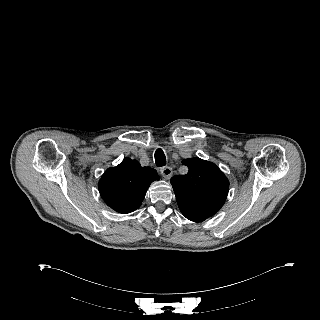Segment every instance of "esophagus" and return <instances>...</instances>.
I'll return each instance as SVG.
<instances>
[{"mask_svg":"<svg viewBox=\"0 0 320 320\" xmlns=\"http://www.w3.org/2000/svg\"><path fill=\"white\" fill-rule=\"evenodd\" d=\"M160 172L165 179H169L173 174L172 168L168 166L162 167Z\"/></svg>","mask_w":320,"mask_h":320,"instance_id":"esophagus-1","label":"esophagus"}]
</instances>
